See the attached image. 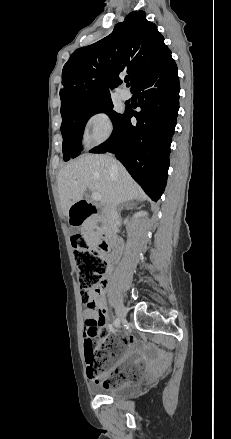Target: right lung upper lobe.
<instances>
[{
    "instance_id": "right-lung-upper-lobe-1",
    "label": "right lung upper lobe",
    "mask_w": 231,
    "mask_h": 439,
    "mask_svg": "<svg viewBox=\"0 0 231 439\" xmlns=\"http://www.w3.org/2000/svg\"><path fill=\"white\" fill-rule=\"evenodd\" d=\"M171 57L157 26L145 12L129 13L107 37L77 49L62 70L61 112L82 102L109 98L119 74L127 71L133 86Z\"/></svg>"
}]
</instances>
